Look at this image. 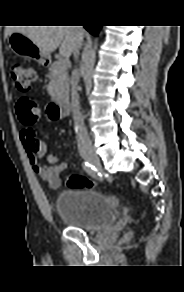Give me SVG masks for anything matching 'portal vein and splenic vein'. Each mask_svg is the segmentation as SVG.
I'll return each instance as SVG.
<instances>
[{
	"mask_svg": "<svg viewBox=\"0 0 184 292\" xmlns=\"http://www.w3.org/2000/svg\"><path fill=\"white\" fill-rule=\"evenodd\" d=\"M60 64H62L63 66H67L68 64V57L62 56L59 60Z\"/></svg>",
	"mask_w": 184,
	"mask_h": 292,
	"instance_id": "portal-vein-and-splenic-vein-1",
	"label": "portal vein and splenic vein"
}]
</instances>
